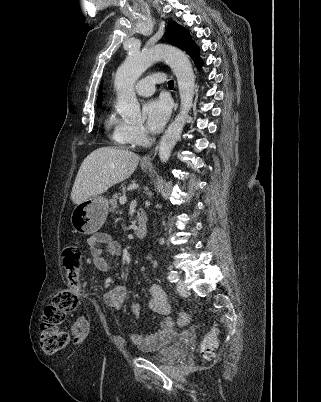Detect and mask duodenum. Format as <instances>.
Listing matches in <instances>:
<instances>
[{
    "label": "duodenum",
    "instance_id": "duodenum-1",
    "mask_svg": "<svg viewBox=\"0 0 321 402\" xmlns=\"http://www.w3.org/2000/svg\"><path fill=\"white\" fill-rule=\"evenodd\" d=\"M136 221H137L136 237L138 239H142L146 235L148 229L147 216L144 211L139 210L136 213Z\"/></svg>",
    "mask_w": 321,
    "mask_h": 402
}]
</instances>
